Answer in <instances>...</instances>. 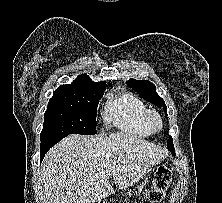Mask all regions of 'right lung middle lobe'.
I'll return each mask as SVG.
<instances>
[{
  "mask_svg": "<svg viewBox=\"0 0 222 203\" xmlns=\"http://www.w3.org/2000/svg\"><path fill=\"white\" fill-rule=\"evenodd\" d=\"M104 91L55 90L44 114L40 140L96 134V113Z\"/></svg>",
  "mask_w": 222,
  "mask_h": 203,
  "instance_id": "right-lung-middle-lobe-1",
  "label": "right lung middle lobe"
}]
</instances>
